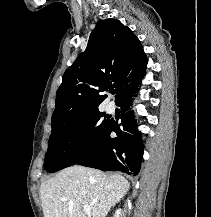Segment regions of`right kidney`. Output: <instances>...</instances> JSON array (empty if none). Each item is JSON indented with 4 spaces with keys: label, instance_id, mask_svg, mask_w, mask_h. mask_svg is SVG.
Wrapping results in <instances>:
<instances>
[{
    "label": "right kidney",
    "instance_id": "obj_1",
    "mask_svg": "<svg viewBox=\"0 0 211 217\" xmlns=\"http://www.w3.org/2000/svg\"><path fill=\"white\" fill-rule=\"evenodd\" d=\"M120 214H121V210H117L114 217H119Z\"/></svg>",
    "mask_w": 211,
    "mask_h": 217
}]
</instances>
